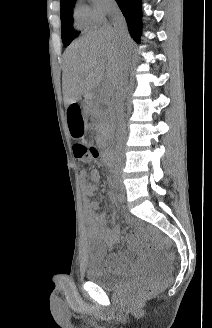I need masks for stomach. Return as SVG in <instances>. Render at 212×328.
Masks as SVG:
<instances>
[{"label":"stomach","mask_w":212,"mask_h":328,"mask_svg":"<svg viewBox=\"0 0 212 328\" xmlns=\"http://www.w3.org/2000/svg\"><path fill=\"white\" fill-rule=\"evenodd\" d=\"M82 102H68L65 115L68 121L66 127L69 128V135H72L73 140H82L85 134V125L83 116L85 110L82 109Z\"/></svg>","instance_id":"0dacf381"}]
</instances>
